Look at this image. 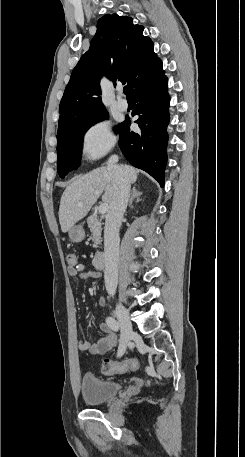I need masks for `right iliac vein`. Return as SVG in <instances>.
Returning <instances> with one entry per match:
<instances>
[{
    "mask_svg": "<svg viewBox=\"0 0 245 457\" xmlns=\"http://www.w3.org/2000/svg\"><path fill=\"white\" fill-rule=\"evenodd\" d=\"M116 314L121 326V339L119 344V355L126 351V347L132 336L133 327L130 321L128 310L121 303L116 304Z\"/></svg>",
    "mask_w": 245,
    "mask_h": 457,
    "instance_id": "1",
    "label": "right iliac vein"
}]
</instances>
